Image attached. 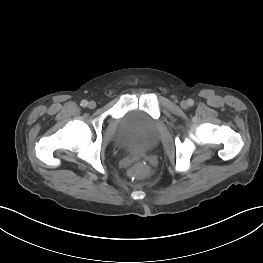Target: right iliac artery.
<instances>
[{
    "label": "right iliac artery",
    "mask_w": 263,
    "mask_h": 263,
    "mask_svg": "<svg viewBox=\"0 0 263 263\" xmlns=\"http://www.w3.org/2000/svg\"><path fill=\"white\" fill-rule=\"evenodd\" d=\"M80 105L82 107H86L88 105V101L87 100H82Z\"/></svg>",
    "instance_id": "obj_1"
}]
</instances>
